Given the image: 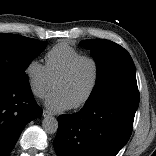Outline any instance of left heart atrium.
<instances>
[{"label": "left heart atrium", "mask_w": 156, "mask_h": 156, "mask_svg": "<svg viewBox=\"0 0 156 156\" xmlns=\"http://www.w3.org/2000/svg\"><path fill=\"white\" fill-rule=\"evenodd\" d=\"M45 105L52 112L65 111L72 107L66 97L56 90L46 98Z\"/></svg>", "instance_id": "1"}]
</instances>
